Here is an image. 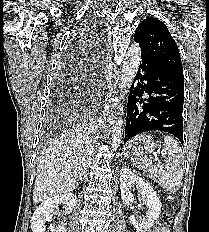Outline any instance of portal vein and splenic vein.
I'll list each match as a JSON object with an SVG mask.
<instances>
[{
	"instance_id": "obj_1",
	"label": "portal vein and splenic vein",
	"mask_w": 209,
	"mask_h": 232,
	"mask_svg": "<svg viewBox=\"0 0 209 232\" xmlns=\"http://www.w3.org/2000/svg\"><path fill=\"white\" fill-rule=\"evenodd\" d=\"M155 161H159V158L157 157V156H155V159H154Z\"/></svg>"
}]
</instances>
